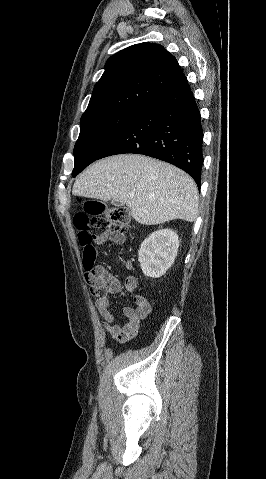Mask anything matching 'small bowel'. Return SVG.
<instances>
[{"label":"small bowel","instance_id":"small-bowel-1","mask_svg":"<svg viewBox=\"0 0 266 479\" xmlns=\"http://www.w3.org/2000/svg\"><path fill=\"white\" fill-rule=\"evenodd\" d=\"M107 241L120 244L124 241V236L105 231L92 236L91 244L94 246V243L100 244ZM92 275L98 290V294L95 295V306L103 320L106 332L114 341L126 342L130 340L138 332L142 319L150 312V304L147 299L136 292V277H127L124 290L120 281L102 265H97L92 271ZM124 292L132 296L135 306L125 307L123 309L125 319L117 322L110 306V295L123 294Z\"/></svg>","mask_w":266,"mask_h":479}]
</instances>
